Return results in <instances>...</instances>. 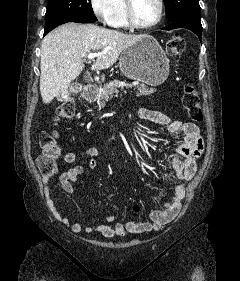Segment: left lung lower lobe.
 Returning a JSON list of instances; mask_svg holds the SVG:
<instances>
[{"mask_svg": "<svg viewBox=\"0 0 240 281\" xmlns=\"http://www.w3.org/2000/svg\"><path fill=\"white\" fill-rule=\"evenodd\" d=\"M175 28H185L188 30H191L194 32L199 40L201 41V35H202V25H201V20L198 17H193V16H185V17H180L172 22L164 28L163 30H172Z\"/></svg>", "mask_w": 240, "mask_h": 281, "instance_id": "0a47b994", "label": "left lung lower lobe"}]
</instances>
